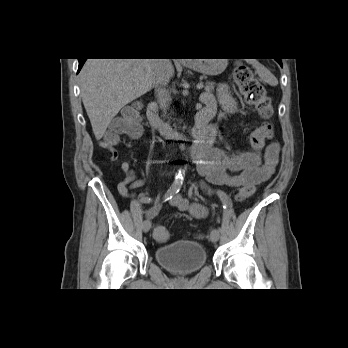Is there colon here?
<instances>
[{
	"label": "colon",
	"mask_w": 348,
	"mask_h": 348,
	"mask_svg": "<svg viewBox=\"0 0 348 348\" xmlns=\"http://www.w3.org/2000/svg\"><path fill=\"white\" fill-rule=\"evenodd\" d=\"M234 80L245 101L255 107L260 117L265 120L250 135V144L255 151L263 149L265 142L273 136V126L267 122L272 115L271 99L265 85L259 81L252 70L246 65H238L234 71ZM141 113L137 106L123 109L120 117L115 119L105 135V145L111 152V159L117 157L113 146L122 136L135 137L141 132ZM253 185H243L239 188L236 199L243 201L254 193ZM156 241L164 242L170 237L169 230L162 225H156L153 230Z\"/></svg>",
	"instance_id": "5ec220e1"
}]
</instances>
